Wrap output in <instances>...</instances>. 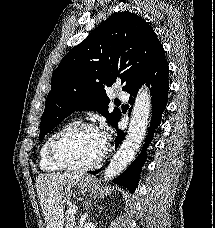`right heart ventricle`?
I'll use <instances>...</instances> for the list:
<instances>
[{
    "instance_id": "1",
    "label": "right heart ventricle",
    "mask_w": 215,
    "mask_h": 228,
    "mask_svg": "<svg viewBox=\"0 0 215 228\" xmlns=\"http://www.w3.org/2000/svg\"><path fill=\"white\" fill-rule=\"evenodd\" d=\"M63 127L58 128L54 131H52L43 141L41 148H40V153H39V159H40V168L42 171L47 172V173H52V172H56L59 171V169L55 168L54 166H52L48 160L47 157V149H48V145L51 141V139L53 138V136L59 131L61 130Z\"/></svg>"
}]
</instances>
